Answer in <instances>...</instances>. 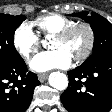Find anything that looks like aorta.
Returning <instances> with one entry per match:
<instances>
[{
    "mask_svg": "<svg viewBox=\"0 0 112 112\" xmlns=\"http://www.w3.org/2000/svg\"><path fill=\"white\" fill-rule=\"evenodd\" d=\"M50 86L57 90H65L68 86V78L61 72H52L48 78Z\"/></svg>",
    "mask_w": 112,
    "mask_h": 112,
    "instance_id": "obj_1",
    "label": "aorta"
}]
</instances>
